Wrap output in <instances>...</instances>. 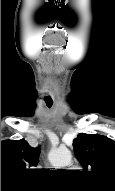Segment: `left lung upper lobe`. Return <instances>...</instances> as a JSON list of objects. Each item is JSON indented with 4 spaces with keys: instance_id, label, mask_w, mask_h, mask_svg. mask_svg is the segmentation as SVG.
Returning <instances> with one entry per match:
<instances>
[{
    "instance_id": "1",
    "label": "left lung upper lobe",
    "mask_w": 115,
    "mask_h": 191,
    "mask_svg": "<svg viewBox=\"0 0 115 191\" xmlns=\"http://www.w3.org/2000/svg\"><path fill=\"white\" fill-rule=\"evenodd\" d=\"M73 147L83 173L115 191V142L103 135L80 133Z\"/></svg>"
}]
</instances>
